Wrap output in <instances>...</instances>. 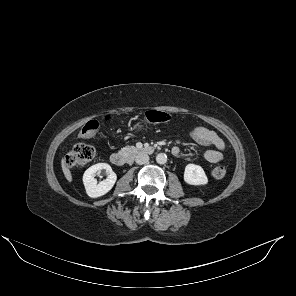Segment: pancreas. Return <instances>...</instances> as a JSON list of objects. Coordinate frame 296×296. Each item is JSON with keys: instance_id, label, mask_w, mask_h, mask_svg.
<instances>
[{"instance_id": "pancreas-1", "label": "pancreas", "mask_w": 296, "mask_h": 296, "mask_svg": "<svg viewBox=\"0 0 296 296\" xmlns=\"http://www.w3.org/2000/svg\"><path fill=\"white\" fill-rule=\"evenodd\" d=\"M124 154H136L139 150L135 146H125L121 149Z\"/></svg>"}]
</instances>
